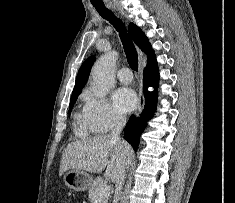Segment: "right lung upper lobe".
I'll return each mask as SVG.
<instances>
[{"mask_svg":"<svg viewBox=\"0 0 235 203\" xmlns=\"http://www.w3.org/2000/svg\"><path fill=\"white\" fill-rule=\"evenodd\" d=\"M129 34L133 41L139 46L142 51H145L147 54V61L153 59L155 57L153 50L151 49L150 43L148 42V38L141 31V29L133 23L129 24ZM95 61V57L91 56L87 60L84 61L80 70L78 72L75 86L73 89V93H80V90L84 87L85 83L88 80V76L91 70V67Z\"/></svg>","mask_w":235,"mask_h":203,"instance_id":"cb5924a9","label":"right lung upper lobe"}]
</instances>
